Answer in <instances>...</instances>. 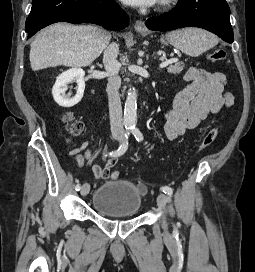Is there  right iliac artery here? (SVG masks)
I'll use <instances>...</instances> for the list:
<instances>
[{
    "instance_id": "1",
    "label": "right iliac artery",
    "mask_w": 255,
    "mask_h": 272,
    "mask_svg": "<svg viewBox=\"0 0 255 272\" xmlns=\"http://www.w3.org/2000/svg\"><path fill=\"white\" fill-rule=\"evenodd\" d=\"M128 136H129V131H126L125 133V141L119 146V148L115 151H112L109 153L110 156H113V157H119L121 155H123L127 148H128ZM107 156V155H106ZM76 191H79L81 189V185L80 184H77L76 187H75Z\"/></svg>"
}]
</instances>
